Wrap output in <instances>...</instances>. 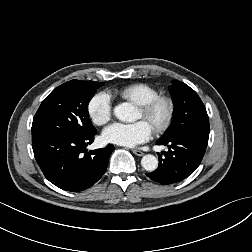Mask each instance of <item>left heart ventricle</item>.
<instances>
[{
  "instance_id": "left-heart-ventricle-1",
  "label": "left heart ventricle",
  "mask_w": 252,
  "mask_h": 252,
  "mask_svg": "<svg viewBox=\"0 0 252 252\" xmlns=\"http://www.w3.org/2000/svg\"><path fill=\"white\" fill-rule=\"evenodd\" d=\"M139 117H142V113L141 112H139Z\"/></svg>"
}]
</instances>
